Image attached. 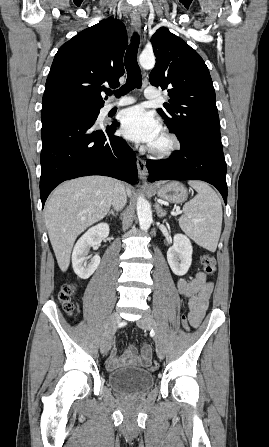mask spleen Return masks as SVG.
<instances>
[{"label":"spleen","mask_w":269,"mask_h":447,"mask_svg":"<svg viewBox=\"0 0 269 447\" xmlns=\"http://www.w3.org/2000/svg\"><path fill=\"white\" fill-rule=\"evenodd\" d=\"M198 192L183 206L179 225L191 239L209 251H216L222 225V206L216 192L205 182H188Z\"/></svg>","instance_id":"obj_1"}]
</instances>
